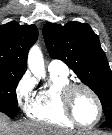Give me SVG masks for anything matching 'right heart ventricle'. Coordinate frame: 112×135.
I'll use <instances>...</instances> for the list:
<instances>
[{
  "mask_svg": "<svg viewBox=\"0 0 112 135\" xmlns=\"http://www.w3.org/2000/svg\"><path fill=\"white\" fill-rule=\"evenodd\" d=\"M71 82L68 75L50 72L49 85L41 88L34 96L27 115L37 121L61 127H73L75 124L63 111L60 92Z\"/></svg>",
  "mask_w": 112,
  "mask_h": 135,
  "instance_id": "e07e8e85",
  "label": "right heart ventricle"
}]
</instances>
